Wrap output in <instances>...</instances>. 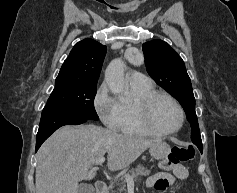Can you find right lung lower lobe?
Segmentation results:
<instances>
[{
    "instance_id": "98d812e1",
    "label": "right lung lower lobe",
    "mask_w": 237,
    "mask_h": 193,
    "mask_svg": "<svg viewBox=\"0 0 237 193\" xmlns=\"http://www.w3.org/2000/svg\"><path fill=\"white\" fill-rule=\"evenodd\" d=\"M88 119L74 118L61 113L42 111L39 130L36 138V151L41 144L59 127L64 125H78L86 122Z\"/></svg>"
}]
</instances>
